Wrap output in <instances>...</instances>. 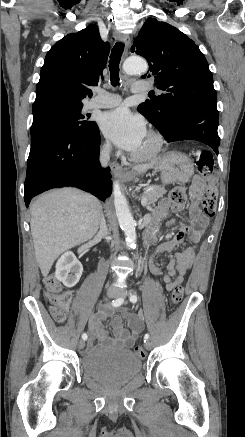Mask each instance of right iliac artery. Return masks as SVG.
Instances as JSON below:
<instances>
[{
  "mask_svg": "<svg viewBox=\"0 0 245 437\" xmlns=\"http://www.w3.org/2000/svg\"><path fill=\"white\" fill-rule=\"evenodd\" d=\"M123 302H124V299H123V298H118V299L113 300V301L111 302V306H113V307H118V306H121V305L123 304ZM87 338H88V335H87L86 333H83V334H82V339H83V340H87Z\"/></svg>",
  "mask_w": 245,
  "mask_h": 437,
  "instance_id": "right-iliac-artery-1",
  "label": "right iliac artery"
}]
</instances>
